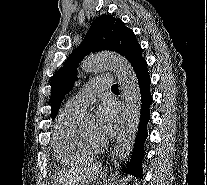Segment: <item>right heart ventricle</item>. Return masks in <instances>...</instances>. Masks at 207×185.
<instances>
[{"instance_id": "obj_1", "label": "right heart ventricle", "mask_w": 207, "mask_h": 185, "mask_svg": "<svg viewBox=\"0 0 207 185\" xmlns=\"http://www.w3.org/2000/svg\"><path fill=\"white\" fill-rule=\"evenodd\" d=\"M78 113L65 110L59 115L53 131V144L58 158L68 165H79L95 158V153L82 142L76 122Z\"/></svg>"}]
</instances>
